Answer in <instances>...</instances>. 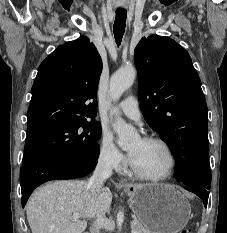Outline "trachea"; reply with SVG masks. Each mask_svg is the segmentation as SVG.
Here are the masks:
<instances>
[{
	"label": "trachea",
	"mask_w": 227,
	"mask_h": 233,
	"mask_svg": "<svg viewBox=\"0 0 227 233\" xmlns=\"http://www.w3.org/2000/svg\"><path fill=\"white\" fill-rule=\"evenodd\" d=\"M127 12L126 11H116V18L113 26L114 37L117 45L119 46L122 37L125 32V22H126Z\"/></svg>",
	"instance_id": "1"
}]
</instances>
